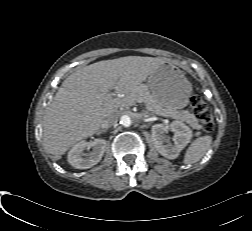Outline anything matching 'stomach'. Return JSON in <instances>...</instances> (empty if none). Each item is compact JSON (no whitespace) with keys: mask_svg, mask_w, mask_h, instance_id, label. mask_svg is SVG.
I'll list each match as a JSON object with an SVG mask.
<instances>
[{"mask_svg":"<svg viewBox=\"0 0 252 231\" xmlns=\"http://www.w3.org/2000/svg\"><path fill=\"white\" fill-rule=\"evenodd\" d=\"M147 85L152 97L164 110L184 108L192 92V85L183 72L166 62L148 77Z\"/></svg>","mask_w":252,"mask_h":231,"instance_id":"stomach-1","label":"stomach"}]
</instances>
